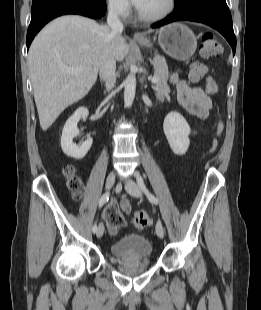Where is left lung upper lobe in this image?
I'll list each match as a JSON object with an SVG mask.
<instances>
[{
	"label": "left lung upper lobe",
	"instance_id": "1",
	"mask_svg": "<svg viewBox=\"0 0 261 310\" xmlns=\"http://www.w3.org/2000/svg\"><path fill=\"white\" fill-rule=\"evenodd\" d=\"M192 0H175V7L176 8H181L184 6L186 3L190 2Z\"/></svg>",
	"mask_w": 261,
	"mask_h": 310
}]
</instances>
